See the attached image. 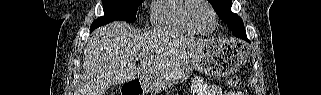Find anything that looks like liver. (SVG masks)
I'll return each instance as SVG.
<instances>
[{
  "label": "liver",
  "instance_id": "obj_1",
  "mask_svg": "<svg viewBox=\"0 0 321 95\" xmlns=\"http://www.w3.org/2000/svg\"><path fill=\"white\" fill-rule=\"evenodd\" d=\"M169 35L161 31L136 34L121 21L95 30L84 49L83 74L75 95H105L112 84L150 78L208 42L180 37L173 49L167 46Z\"/></svg>",
  "mask_w": 321,
  "mask_h": 95
}]
</instances>
